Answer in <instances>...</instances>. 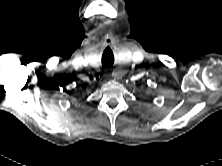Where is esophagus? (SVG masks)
Instances as JSON below:
<instances>
[{
    "mask_svg": "<svg viewBox=\"0 0 222 166\" xmlns=\"http://www.w3.org/2000/svg\"><path fill=\"white\" fill-rule=\"evenodd\" d=\"M122 75H123L122 72H113L112 73V76L117 79H120L122 77ZM108 76H109L108 74H105V77H108Z\"/></svg>",
    "mask_w": 222,
    "mask_h": 166,
    "instance_id": "esophagus-1",
    "label": "esophagus"
}]
</instances>
